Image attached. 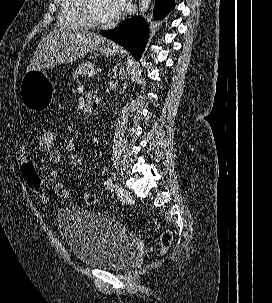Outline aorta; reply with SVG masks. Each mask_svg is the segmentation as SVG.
I'll return each instance as SVG.
<instances>
[{
  "mask_svg": "<svg viewBox=\"0 0 272 303\" xmlns=\"http://www.w3.org/2000/svg\"><path fill=\"white\" fill-rule=\"evenodd\" d=\"M152 0H139V14L144 15L147 13Z\"/></svg>",
  "mask_w": 272,
  "mask_h": 303,
  "instance_id": "aorta-1",
  "label": "aorta"
}]
</instances>
